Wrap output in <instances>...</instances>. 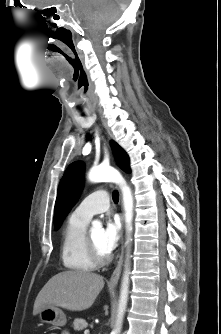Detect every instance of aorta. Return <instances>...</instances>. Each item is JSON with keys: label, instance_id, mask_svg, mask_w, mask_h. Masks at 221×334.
Segmentation results:
<instances>
[{"label": "aorta", "instance_id": "1", "mask_svg": "<svg viewBox=\"0 0 221 334\" xmlns=\"http://www.w3.org/2000/svg\"><path fill=\"white\" fill-rule=\"evenodd\" d=\"M88 178L91 182H114L120 185L123 195V205L125 211V222L127 231L130 232L132 230V218H133V196L131 189L127 186L125 180L121 176V174L112 167H104L97 166L93 167L88 175ZM94 228H101L102 224L100 221H93L92 223ZM129 269L128 264L126 265V269L124 272L122 287L120 293V301L117 315V324L116 328L112 331L111 334H119L120 326L123 319V315L127 305L128 298V287H129Z\"/></svg>", "mask_w": 221, "mask_h": 334}]
</instances>
